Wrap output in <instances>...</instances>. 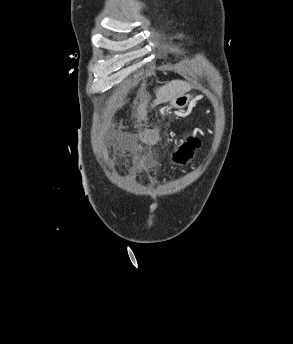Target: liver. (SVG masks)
<instances>
[{
  "instance_id": "6515ba94",
  "label": "liver",
  "mask_w": 293,
  "mask_h": 344,
  "mask_svg": "<svg viewBox=\"0 0 293 344\" xmlns=\"http://www.w3.org/2000/svg\"><path fill=\"white\" fill-rule=\"evenodd\" d=\"M191 89V85L185 81L174 80L160 87L156 92L154 104L168 102L178 96L187 93ZM121 104L118 105V108Z\"/></svg>"
}]
</instances>
